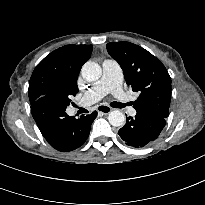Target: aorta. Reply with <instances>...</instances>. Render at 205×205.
I'll use <instances>...</instances> for the list:
<instances>
[{
  "mask_svg": "<svg viewBox=\"0 0 205 205\" xmlns=\"http://www.w3.org/2000/svg\"><path fill=\"white\" fill-rule=\"evenodd\" d=\"M82 77L88 82L98 80L102 75L101 66L93 61H87L81 69ZM125 115L119 110H113L108 115L109 123L114 127H122L125 124Z\"/></svg>",
  "mask_w": 205,
  "mask_h": 205,
  "instance_id": "1",
  "label": "aorta"
}]
</instances>
